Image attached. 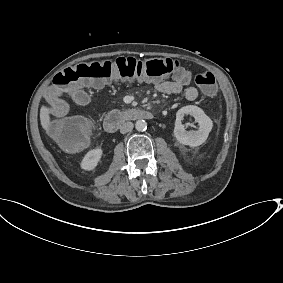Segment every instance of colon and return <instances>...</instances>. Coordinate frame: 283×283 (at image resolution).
Instances as JSON below:
<instances>
[{
	"mask_svg": "<svg viewBox=\"0 0 283 283\" xmlns=\"http://www.w3.org/2000/svg\"><path fill=\"white\" fill-rule=\"evenodd\" d=\"M177 68V61L170 58L120 57L68 67L54 77L53 83L65 90L75 103L85 105L88 102V94L83 90L85 86L101 87L112 80H160ZM195 83L206 95H214L217 91V82L211 72L197 74ZM93 128L89 118L71 116L52 123L50 135L63 149L78 151L88 145Z\"/></svg>",
	"mask_w": 283,
	"mask_h": 283,
	"instance_id": "1",
	"label": "colon"
}]
</instances>
